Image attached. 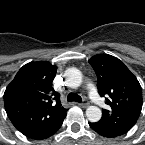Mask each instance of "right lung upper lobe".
Returning a JSON list of instances; mask_svg holds the SVG:
<instances>
[{"mask_svg": "<svg viewBox=\"0 0 145 145\" xmlns=\"http://www.w3.org/2000/svg\"><path fill=\"white\" fill-rule=\"evenodd\" d=\"M57 67L47 61L24 65L7 86L4 105L15 128L30 137L54 126L65 109L52 82Z\"/></svg>", "mask_w": 145, "mask_h": 145, "instance_id": "cb5924a9", "label": "right lung upper lobe"}]
</instances>
